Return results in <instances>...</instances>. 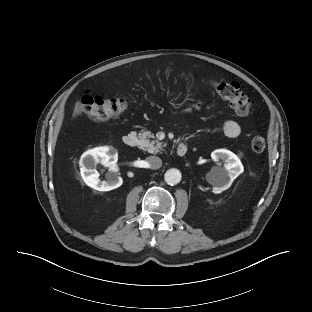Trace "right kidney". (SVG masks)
<instances>
[{
  "label": "right kidney",
  "instance_id": "obj_1",
  "mask_svg": "<svg viewBox=\"0 0 312 312\" xmlns=\"http://www.w3.org/2000/svg\"><path fill=\"white\" fill-rule=\"evenodd\" d=\"M118 155L115 149L109 147H98L85 152L79 161L80 173L84 182L98 191H110L122 185L123 180L117 175ZM101 163L109 168L106 180L100 181L96 170L97 164Z\"/></svg>",
  "mask_w": 312,
  "mask_h": 312
}]
</instances>
